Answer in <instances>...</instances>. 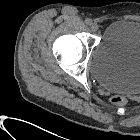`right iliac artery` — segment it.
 I'll return each instance as SVG.
<instances>
[{"instance_id":"obj_1","label":"right iliac artery","mask_w":140,"mask_h":140,"mask_svg":"<svg viewBox=\"0 0 140 140\" xmlns=\"http://www.w3.org/2000/svg\"><path fill=\"white\" fill-rule=\"evenodd\" d=\"M85 23H86L87 25H91V24H92V20L88 18V19L85 20Z\"/></svg>"}]
</instances>
